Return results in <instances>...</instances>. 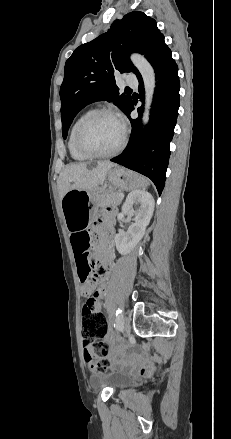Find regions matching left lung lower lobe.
<instances>
[{"label": "left lung lower lobe", "mask_w": 231, "mask_h": 439, "mask_svg": "<svg viewBox=\"0 0 231 439\" xmlns=\"http://www.w3.org/2000/svg\"><path fill=\"white\" fill-rule=\"evenodd\" d=\"M153 67L157 82L149 125L141 130L140 117L143 107L137 109L140 117L131 119L130 113L134 109V102L131 100L124 112L132 125L130 142L122 154L111 161L147 176L161 194L170 157V142L178 116L180 83L178 67L169 48L159 55ZM138 80L140 100L143 101L142 77Z\"/></svg>", "instance_id": "left-lung-lower-lobe-1"}]
</instances>
